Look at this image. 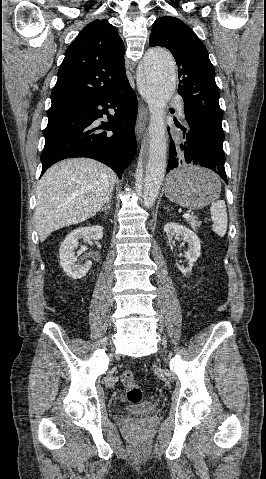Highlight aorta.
<instances>
[{"mask_svg": "<svg viewBox=\"0 0 266 479\" xmlns=\"http://www.w3.org/2000/svg\"><path fill=\"white\" fill-rule=\"evenodd\" d=\"M176 86V67L171 54L161 48L149 49L143 58L139 88L151 114L149 148L144 170L138 175L146 207L155 203L167 166V139L164 111Z\"/></svg>", "mask_w": 266, "mask_h": 479, "instance_id": "762f6f07", "label": "aorta"}]
</instances>
